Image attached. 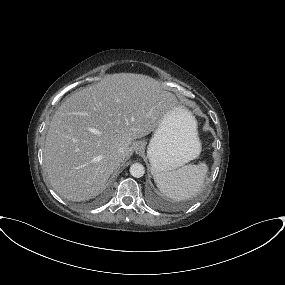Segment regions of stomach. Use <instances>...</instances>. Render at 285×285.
I'll list each match as a JSON object with an SVG mask.
<instances>
[{
	"label": "stomach",
	"mask_w": 285,
	"mask_h": 285,
	"mask_svg": "<svg viewBox=\"0 0 285 285\" xmlns=\"http://www.w3.org/2000/svg\"><path fill=\"white\" fill-rule=\"evenodd\" d=\"M200 152L197 122L191 112L182 107L162 120L147 148L154 173L175 170L195 159Z\"/></svg>",
	"instance_id": "1"
}]
</instances>
